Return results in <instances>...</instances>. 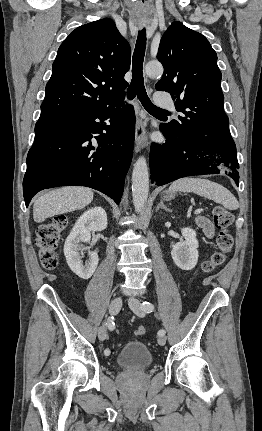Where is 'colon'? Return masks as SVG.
Returning a JSON list of instances; mask_svg holds the SVG:
<instances>
[{
    "label": "colon",
    "instance_id": "1",
    "mask_svg": "<svg viewBox=\"0 0 262 431\" xmlns=\"http://www.w3.org/2000/svg\"><path fill=\"white\" fill-rule=\"evenodd\" d=\"M233 214L225 208L217 207L214 210L215 225L219 228H227L233 223ZM68 226V219L61 215L54 218L49 223L38 228V244L40 247V262L47 270H54L58 265V247L62 239V234ZM233 245L232 236L225 230L218 233L216 238V250L212 256L203 262L202 271L211 273L221 266L226 256L231 252ZM146 328L141 326L135 330L136 335H143Z\"/></svg>",
    "mask_w": 262,
    "mask_h": 431
}]
</instances>
